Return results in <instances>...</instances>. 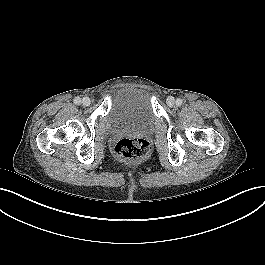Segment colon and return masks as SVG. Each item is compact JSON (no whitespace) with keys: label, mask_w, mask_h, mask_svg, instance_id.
I'll return each mask as SVG.
<instances>
[{"label":"colon","mask_w":265,"mask_h":265,"mask_svg":"<svg viewBox=\"0 0 265 265\" xmlns=\"http://www.w3.org/2000/svg\"><path fill=\"white\" fill-rule=\"evenodd\" d=\"M151 152L149 142L140 137L122 138L114 146L115 155L126 161H140L146 159Z\"/></svg>","instance_id":"colon-1"}]
</instances>
